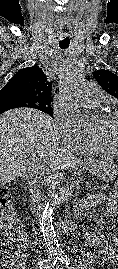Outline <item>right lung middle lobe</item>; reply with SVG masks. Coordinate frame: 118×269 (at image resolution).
I'll return each instance as SVG.
<instances>
[{
    "mask_svg": "<svg viewBox=\"0 0 118 269\" xmlns=\"http://www.w3.org/2000/svg\"><path fill=\"white\" fill-rule=\"evenodd\" d=\"M19 107L35 108L53 117L51 104H42L27 96L15 93L5 94L0 97V114Z\"/></svg>",
    "mask_w": 118,
    "mask_h": 269,
    "instance_id": "obj_1",
    "label": "right lung middle lobe"
}]
</instances>
